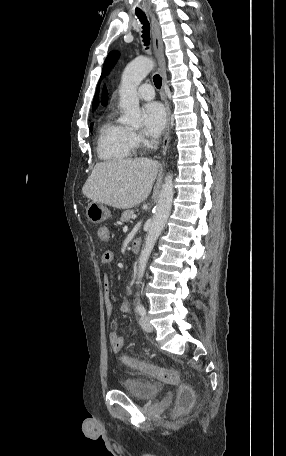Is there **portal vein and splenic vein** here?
Returning <instances> with one entry per match:
<instances>
[{
  "label": "portal vein and splenic vein",
  "instance_id": "1",
  "mask_svg": "<svg viewBox=\"0 0 286 456\" xmlns=\"http://www.w3.org/2000/svg\"><path fill=\"white\" fill-rule=\"evenodd\" d=\"M135 218H136V215H135V214H134V215H132V219H135Z\"/></svg>",
  "mask_w": 286,
  "mask_h": 456
}]
</instances>
